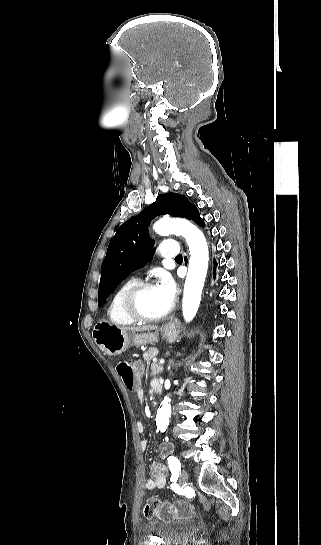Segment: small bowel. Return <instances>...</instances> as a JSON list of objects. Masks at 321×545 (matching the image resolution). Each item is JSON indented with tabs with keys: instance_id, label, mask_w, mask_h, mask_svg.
<instances>
[{
	"instance_id": "1",
	"label": "small bowel",
	"mask_w": 321,
	"mask_h": 545,
	"mask_svg": "<svg viewBox=\"0 0 321 545\" xmlns=\"http://www.w3.org/2000/svg\"><path fill=\"white\" fill-rule=\"evenodd\" d=\"M157 385H160L159 381H157V380L152 381L151 386H152L153 389ZM136 399L140 403H142L144 401V392H143L142 389H138L136 391ZM136 427H137V431L139 433L144 432V425H143L142 422H137ZM147 446H148L147 440L142 439L140 441V448L144 451V450H146ZM171 450H172V447H171L170 444H168V443L161 444V446H160V456L161 457H166L171 452ZM150 474H151L152 478L149 479L148 481H146L145 488L147 490H154L156 488H158V489L164 488L165 482H166V469H165V467L160 463H153L151 468H150Z\"/></svg>"
}]
</instances>
